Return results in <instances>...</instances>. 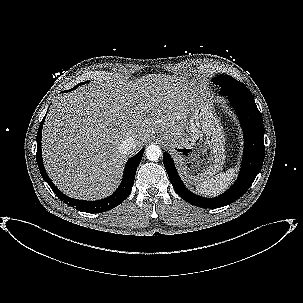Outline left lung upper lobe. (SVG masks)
<instances>
[{"instance_id":"1","label":"left lung upper lobe","mask_w":303,"mask_h":303,"mask_svg":"<svg viewBox=\"0 0 303 303\" xmlns=\"http://www.w3.org/2000/svg\"><path fill=\"white\" fill-rule=\"evenodd\" d=\"M213 82L221 87L220 93H223L226 89L227 90L231 89L236 91L241 96L253 97L251 92L243 83L235 80L231 76L219 75L213 79Z\"/></svg>"}]
</instances>
